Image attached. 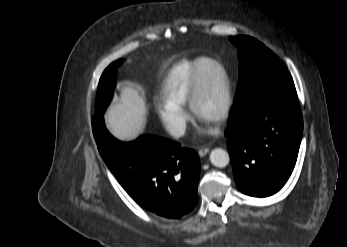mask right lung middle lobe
Instances as JSON below:
<instances>
[{"mask_svg":"<svg viewBox=\"0 0 347 247\" xmlns=\"http://www.w3.org/2000/svg\"><path fill=\"white\" fill-rule=\"evenodd\" d=\"M123 60H117L113 63H111L103 72L99 87L97 91V98H96V114L103 116V113L108 106L112 95H113V89L116 84V71L118 66L122 64Z\"/></svg>","mask_w":347,"mask_h":247,"instance_id":"obj_1","label":"right lung middle lobe"}]
</instances>
